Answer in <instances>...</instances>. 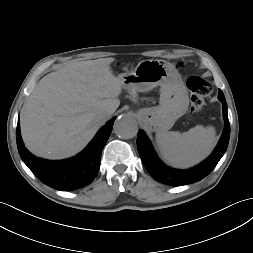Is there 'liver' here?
Segmentation results:
<instances>
[{"mask_svg":"<svg viewBox=\"0 0 253 253\" xmlns=\"http://www.w3.org/2000/svg\"><path fill=\"white\" fill-rule=\"evenodd\" d=\"M114 58L71 63L44 76L20 116L21 134L33 154L63 159L80 152L101 126L98 112L119 107L122 82L112 71Z\"/></svg>","mask_w":253,"mask_h":253,"instance_id":"6515ba94","label":"liver"}]
</instances>
